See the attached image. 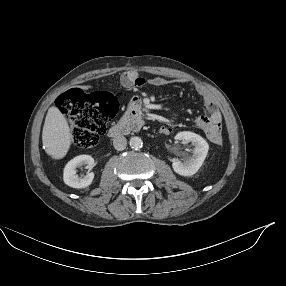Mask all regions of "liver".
<instances>
[{
	"instance_id": "obj_1",
	"label": "liver",
	"mask_w": 286,
	"mask_h": 286,
	"mask_svg": "<svg viewBox=\"0 0 286 286\" xmlns=\"http://www.w3.org/2000/svg\"><path fill=\"white\" fill-rule=\"evenodd\" d=\"M72 139L73 135L64 115L57 107H50L42 132L45 152L53 159H62L69 151Z\"/></svg>"
}]
</instances>
